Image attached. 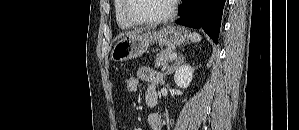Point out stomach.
Here are the masks:
<instances>
[{"label": "stomach", "instance_id": "obj_1", "mask_svg": "<svg viewBox=\"0 0 299 130\" xmlns=\"http://www.w3.org/2000/svg\"><path fill=\"white\" fill-rule=\"evenodd\" d=\"M188 38V31L176 26H167L152 34H129L115 44L111 52V60L123 62L140 57L154 41H158L160 46L172 47L183 44Z\"/></svg>", "mask_w": 299, "mask_h": 130}]
</instances>
